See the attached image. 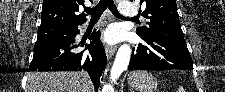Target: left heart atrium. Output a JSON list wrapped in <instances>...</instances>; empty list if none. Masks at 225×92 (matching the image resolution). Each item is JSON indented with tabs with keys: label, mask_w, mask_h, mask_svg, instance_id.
<instances>
[{
	"label": "left heart atrium",
	"mask_w": 225,
	"mask_h": 92,
	"mask_svg": "<svg viewBox=\"0 0 225 92\" xmlns=\"http://www.w3.org/2000/svg\"><path fill=\"white\" fill-rule=\"evenodd\" d=\"M119 36V30L111 26L104 32L103 38L107 43H114L119 39Z\"/></svg>",
	"instance_id": "39dd6f15"
}]
</instances>
